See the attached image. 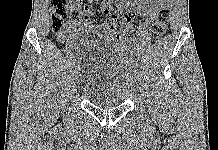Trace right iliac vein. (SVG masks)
<instances>
[{"label": "right iliac vein", "instance_id": "obj_1", "mask_svg": "<svg viewBox=\"0 0 218 150\" xmlns=\"http://www.w3.org/2000/svg\"><path fill=\"white\" fill-rule=\"evenodd\" d=\"M72 80H73V90L76 91L77 90V74L76 73L73 74Z\"/></svg>", "mask_w": 218, "mask_h": 150}]
</instances>
